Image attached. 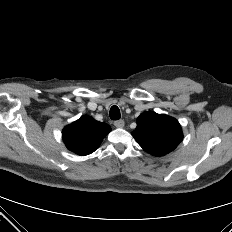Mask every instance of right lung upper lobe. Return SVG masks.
I'll return each instance as SVG.
<instances>
[{
  "label": "right lung upper lobe",
  "mask_w": 232,
  "mask_h": 232,
  "mask_svg": "<svg viewBox=\"0 0 232 232\" xmlns=\"http://www.w3.org/2000/svg\"><path fill=\"white\" fill-rule=\"evenodd\" d=\"M111 128L90 116H82L66 126L62 132L66 147L78 155L94 152Z\"/></svg>",
  "instance_id": "obj_1"
}]
</instances>
